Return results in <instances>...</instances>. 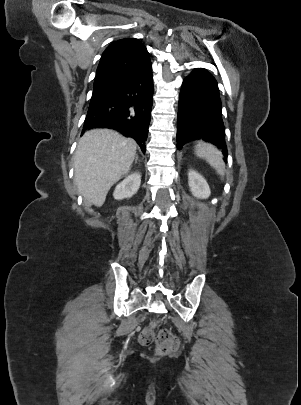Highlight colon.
Listing matches in <instances>:
<instances>
[{
  "instance_id": "5ec220e1",
  "label": "colon",
  "mask_w": 301,
  "mask_h": 405,
  "mask_svg": "<svg viewBox=\"0 0 301 405\" xmlns=\"http://www.w3.org/2000/svg\"><path fill=\"white\" fill-rule=\"evenodd\" d=\"M156 323L145 327L139 334L138 341L142 346L154 345L159 355L168 354L177 350L179 340L175 334L168 329L155 331Z\"/></svg>"
}]
</instances>
